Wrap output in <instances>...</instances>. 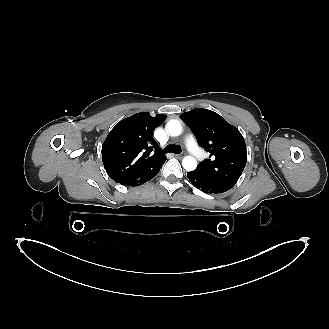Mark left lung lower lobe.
<instances>
[{
	"instance_id": "1",
	"label": "left lung lower lobe",
	"mask_w": 329,
	"mask_h": 329,
	"mask_svg": "<svg viewBox=\"0 0 329 329\" xmlns=\"http://www.w3.org/2000/svg\"><path fill=\"white\" fill-rule=\"evenodd\" d=\"M187 176H188V179L190 180V182L196 188L201 190L202 192L209 193V194H217V193H223V192L228 191L219 185H216L214 183L207 181L206 179L202 178L201 176L195 174L193 171L188 172Z\"/></svg>"
}]
</instances>
